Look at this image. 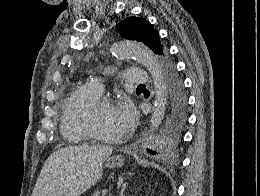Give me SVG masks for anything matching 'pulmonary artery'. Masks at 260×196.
<instances>
[{
  "label": "pulmonary artery",
  "mask_w": 260,
  "mask_h": 196,
  "mask_svg": "<svg viewBox=\"0 0 260 196\" xmlns=\"http://www.w3.org/2000/svg\"><path fill=\"white\" fill-rule=\"evenodd\" d=\"M117 77H121V80L125 84H150L149 72H143V69H122L121 72L116 73ZM97 93H102V86H94Z\"/></svg>",
  "instance_id": "1"
}]
</instances>
